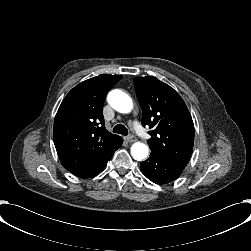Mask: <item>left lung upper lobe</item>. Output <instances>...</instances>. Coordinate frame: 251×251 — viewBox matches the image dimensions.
<instances>
[{
  "label": "left lung upper lobe",
  "mask_w": 251,
  "mask_h": 251,
  "mask_svg": "<svg viewBox=\"0 0 251 251\" xmlns=\"http://www.w3.org/2000/svg\"><path fill=\"white\" fill-rule=\"evenodd\" d=\"M133 82L142 125L153 128L148 140L151 153L187 165L193 150L194 124L183 99L155 77H136Z\"/></svg>",
  "instance_id": "5c2ea615"
}]
</instances>
